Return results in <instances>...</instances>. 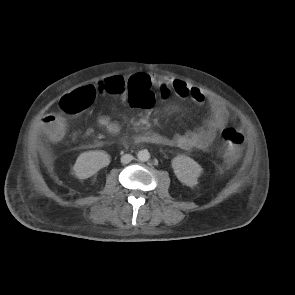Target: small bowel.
<instances>
[{"instance_id": "small-bowel-1", "label": "small bowel", "mask_w": 295, "mask_h": 295, "mask_svg": "<svg viewBox=\"0 0 295 295\" xmlns=\"http://www.w3.org/2000/svg\"><path fill=\"white\" fill-rule=\"evenodd\" d=\"M117 78L112 77L110 79ZM109 80V79H108ZM127 87H158L162 97H167L170 93L183 99H191L198 104L207 103L211 109V116L206 125L196 131H191L173 136H164L160 133L150 132L139 135L138 142H147L155 145H165L178 147L183 150H207L214 142L220 129L225 127L229 121V112L224 104L207 97L202 91L185 81L157 76L146 72H138L129 76L126 81ZM168 95L165 96L164 93ZM122 100L127 102L126 91L121 95ZM54 114L47 115L42 122V129L45 132L47 126L51 123ZM98 123L111 134H117L120 131V124L110 116L102 115Z\"/></svg>"}]
</instances>
